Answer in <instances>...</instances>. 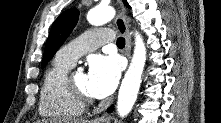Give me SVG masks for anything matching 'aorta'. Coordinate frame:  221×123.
I'll list each match as a JSON object with an SVG mask.
<instances>
[{"mask_svg":"<svg viewBox=\"0 0 221 123\" xmlns=\"http://www.w3.org/2000/svg\"><path fill=\"white\" fill-rule=\"evenodd\" d=\"M114 15L115 10L112 7L98 6L88 12L87 20L90 24L98 26L110 22ZM145 61L146 48L142 37L136 32L134 54L118 93L117 111L121 117L130 113L137 99Z\"/></svg>","mask_w":221,"mask_h":123,"instance_id":"obj_1","label":"aorta"}]
</instances>
